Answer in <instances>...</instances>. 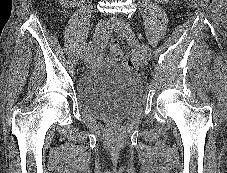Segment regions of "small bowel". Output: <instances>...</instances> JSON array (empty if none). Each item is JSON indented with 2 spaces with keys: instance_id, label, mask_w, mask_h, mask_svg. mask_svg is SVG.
Listing matches in <instances>:
<instances>
[{
  "instance_id": "small-bowel-1",
  "label": "small bowel",
  "mask_w": 227,
  "mask_h": 173,
  "mask_svg": "<svg viewBox=\"0 0 227 173\" xmlns=\"http://www.w3.org/2000/svg\"><path fill=\"white\" fill-rule=\"evenodd\" d=\"M160 2H166L167 0H159ZM100 52H95L94 54H93V60H98L99 58H100Z\"/></svg>"
}]
</instances>
